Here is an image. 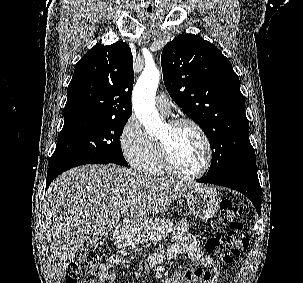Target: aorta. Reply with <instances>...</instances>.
<instances>
[{
    "instance_id": "1",
    "label": "aorta",
    "mask_w": 303,
    "mask_h": 283,
    "mask_svg": "<svg viewBox=\"0 0 303 283\" xmlns=\"http://www.w3.org/2000/svg\"><path fill=\"white\" fill-rule=\"evenodd\" d=\"M160 80L159 70L146 67L136 82L133 91V109L149 135L156 134L164 125L163 118L155 107V94Z\"/></svg>"
}]
</instances>
